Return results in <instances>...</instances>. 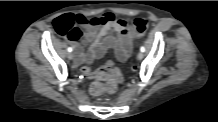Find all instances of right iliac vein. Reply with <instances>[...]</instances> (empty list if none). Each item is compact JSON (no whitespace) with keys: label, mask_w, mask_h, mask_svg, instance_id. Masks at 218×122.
I'll use <instances>...</instances> for the list:
<instances>
[{"label":"right iliac vein","mask_w":218,"mask_h":122,"mask_svg":"<svg viewBox=\"0 0 218 122\" xmlns=\"http://www.w3.org/2000/svg\"><path fill=\"white\" fill-rule=\"evenodd\" d=\"M67 57H68V59H73V57H74V54L73 53H69L68 55H67Z\"/></svg>","instance_id":"1"}]
</instances>
